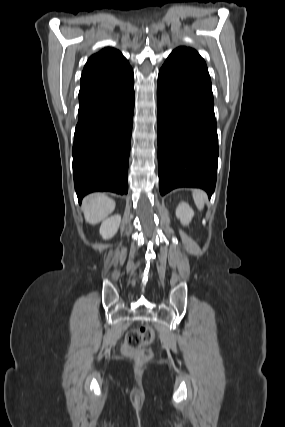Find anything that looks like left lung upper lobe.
I'll use <instances>...</instances> for the list:
<instances>
[{"instance_id":"obj_1","label":"left lung upper lobe","mask_w":285,"mask_h":427,"mask_svg":"<svg viewBox=\"0 0 285 427\" xmlns=\"http://www.w3.org/2000/svg\"><path fill=\"white\" fill-rule=\"evenodd\" d=\"M173 52H182V53L191 54L197 61H199L203 66L206 67V64H205V61L203 60V58L192 48L178 47Z\"/></svg>"}]
</instances>
